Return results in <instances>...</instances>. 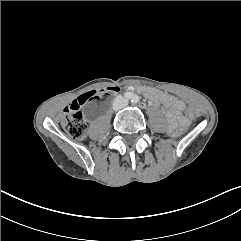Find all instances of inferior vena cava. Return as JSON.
Listing matches in <instances>:
<instances>
[{
	"label": "inferior vena cava",
	"instance_id": "1",
	"mask_svg": "<svg viewBox=\"0 0 241 241\" xmlns=\"http://www.w3.org/2000/svg\"><path fill=\"white\" fill-rule=\"evenodd\" d=\"M128 105V100L125 99L123 96L119 95L115 98L113 102V110L117 111L119 109L124 108Z\"/></svg>",
	"mask_w": 241,
	"mask_h": 241
}]
</instances>
